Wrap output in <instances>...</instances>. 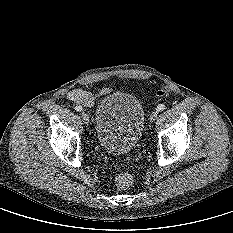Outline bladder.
Instances as JSON below:
<instances>
[{
	"mask_svg": "<svg viewBox=\"0 0 233 233\" xmlns=\"http://www.w3.org/2000/svg\"><path fill=\"white\" fill-rule=\"evenodd\" d=\"M145 122L140 100L126 92L104 96L95 111V133L102 148L112 155H124L138 143Z\"/></svg>",
	"mask_w": 233,
	"mask_h": 233,
	"instance_id": "bladder-1",
	"label": "bladder"
}]
</instances>
